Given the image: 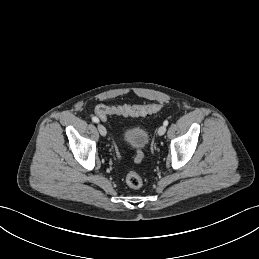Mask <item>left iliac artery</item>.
<instances>
[{
	"label": "left iliac artery",
	"instance_id": "1",
	"mask_svg": "<svg viewBox=\"0 0 259 259\" xmlns=\"http://www.w3.org/2000/svg\"><path fill=\"white\" fill-rule=\"evenodd\" d=\"M164 126H167L168 125V121L165 120L164 123H163Z\"/></svg>",
	"mask_w": 259,
	"mask_h": 259
}]
</instances>
